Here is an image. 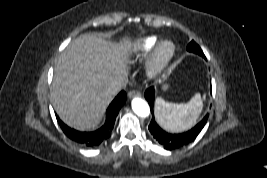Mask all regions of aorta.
<instances>
[{
	"label": "aorta",
	"mask_w": 267,
	"mask_h": 178,
	"mask_svg": "<svg viewBox=\"0 0 267 178\" xmlns=\"http://www.w3.org/2000/svg\"><path fill=\"white\" fill-rule=\"evenodd\" d=\"M131 106L133 111L140 117H148L150 115V107L142 98L135 97L131 102Z\"/></svg>",
	"instance_id": "762f6f07"
}]
</instances>
